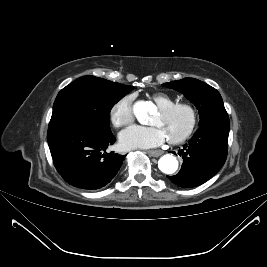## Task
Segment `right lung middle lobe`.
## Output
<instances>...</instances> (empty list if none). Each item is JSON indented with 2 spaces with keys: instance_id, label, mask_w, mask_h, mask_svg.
Here are the masks:
<instances>
[{
  "instance_id": "right-lung-middle-lobe-1",
  "label": "right lung middle lobe",
  "mask_w": 267,
  "mask_h": 267,
  "mask_svg": "<svg viewBox=\"0 0 267 267\" xmlns=\"http://www.w3.org/2000/svg\"><path fill=\"white\" fill-rule=\"evenodd\" d=\"M132 89V86L91 75L81 77L57 95L48 129L68 122H79L110 130L112 107Z\"/></svg>"
}]
</instances>
